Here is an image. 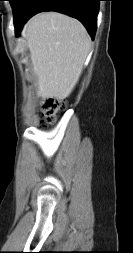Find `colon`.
<instances>
[{"label":"colon","instance_id":"5ec220e1","mask_svg":"<svg viewBox=\"0 0 133 253\" xmlns=\"http://www.w3.org/2000/svg\"><path fill=\"white\" fill-rule=\"evenodd\" d=\"M65 102L57 98H45L42 101V111L44 125L51 124L57 118L58 113L64 109Z\"/></svg>","mask_w":133,"mask_h":253}]
</instances>
